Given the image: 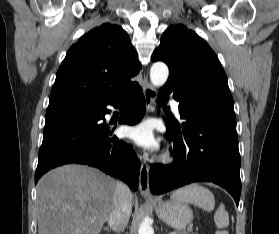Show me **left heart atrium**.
Instances as JSON below:
<instances>
[{
    "instance_id": "1",
    "label": "left heart atrium",
    "mask_w": 279,
    "mask_h": 234,
    "mask_svg": "<svg viewBox=\"0 0 279 234\" xmlns=\"http://www.w3.org/2000/svg\"><path fill=\"white\" fill-rule=\"evenodd\" d=\"M127 136L136 144L153 149L157 147V141L149 122H142L136 126L129 127L126 132Z\"/></svg>"
}]
</instances>
